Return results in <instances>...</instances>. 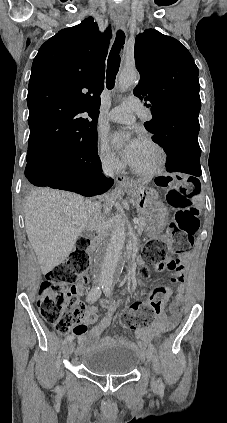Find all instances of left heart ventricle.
I'll list each match as a JSON object with an SVG mask.
<instances>
[{
  "instance_id": "obj_1",
  "label": "left heart ventricle",
  "mask_w": 227,
  "mask_h": 423,
  "mask_svg": "<svg viewBox=\"0 0 227 423\" xmlns=\"http://www.w3.org/2000/svg\"><path fill=\"white\" fill-rule=\"evenodd\" d=\"M158 160V151L153 146L143 143L138 150L133 166L141 170H148L154 167Z\"/></svg>"
}]
</instances>
